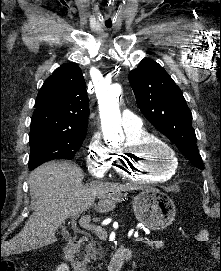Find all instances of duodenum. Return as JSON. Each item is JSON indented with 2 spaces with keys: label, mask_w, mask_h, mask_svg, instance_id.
Wrapping results in <instances>:
<instances>
[{
  "label": "duodenum",
  "mask_w": 221,
  "mask_h": 271,
  "mask_svg": "<svg viewBox=\"0 0 221 271\" xmlns=\"http://www.w3.org/2000/svg\"><path fill=\"white\" fill-rule=\"evenodd\" d=\"M85 237L70 240L63 248V258L70 264L73 271H87L84 264L77 259V253L85 242ZM132 259V253L127 248L115 251L108 265V271H121L125 262Z\"/></svg>",
  "instance_id": "obj_1"
}]
</instances>
